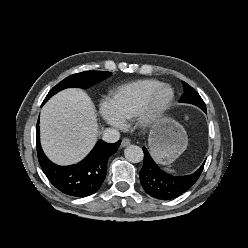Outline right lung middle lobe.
<instances>
[{
	"mask_svg": "<svg viewBox=\"0 0 248 248\" xmlns=\"http://www.w3.org/2000/svg\"><path fill=\"white\" fill-rule=\"evenodd\" d=\"M111 76L110 72L106 71H84L81 73L70 75L53 87L47 94L44 102L52 97L57 92L70 87L87 88Z\"/></svg>",
	"mask_w": 248,
	"mask_h": 248,
	"instance_id": "right-lung-middle-lobe-1",
	"label": "right lung middle lobe"
}]
</instances>
